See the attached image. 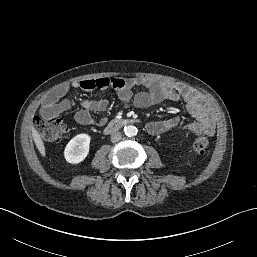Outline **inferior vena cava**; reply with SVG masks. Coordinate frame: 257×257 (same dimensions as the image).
Returning <instances> with one entry per match:
<instances>
[{"instance_id":"inferior-vena-cava-1","label":"inferior vena cava","mask_w":257,"mask_h":257,"mask_svg":"<svg viewBox=\"0 0 257 257\" xmlns=\"http://www.w3.org/2000/svg\"><path fill=\"white\" fill-rule=\"evenodd\" d=\"M121 133L119 131H114L111 134V142L115 143L118 142L119 140H121Z\"/></svg>"}]
</instances>
